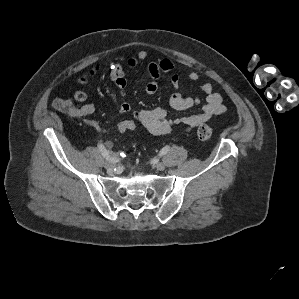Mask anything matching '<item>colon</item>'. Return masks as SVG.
Listing matches in <instances>:
<instances>
[{
    "label": "colon",
    "mask_w": 299,
    "mask_h": 299,
    "mask_svg": "<svg viewBox=\"0 0 299 299\" xmlns=\"http://www.w3.org/2000/svg\"><path fill=\"white\" fill-rule=\"evenodd\" d=\"M55 110L68 117H80L82 116L81 109L73 104L71 100L68 99H55L52 103ZM138 128V123L133 119H126L119 122L117 126L118 132L121 134H127L136 131ZM213 129L208 125H200L196 131V136L200 140H209L213 136Z\"/></svg>",
    "instance_id": "5ec220e1"
}]
</instances>
